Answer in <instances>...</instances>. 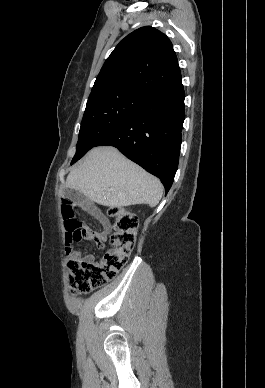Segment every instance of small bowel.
<instances>
[{"mask_svg":"<svg viewBox=\"0 0 265 388\" xmlns=\"http://www.w3.org/2000/svg\"><path fill=\"white\" fill-rule=\"evenodd\" d=\"M85 209L94 219L99 221L103 227V230L100 232L87 229L89 233L88 240L94 241L98 247L103 248L106 244L107 235L112 229L111 223L98 207L87 205ZM71 257L79 258L87 262H94V256L90 254L81 258L78 252H72Z\"/></svg>","mask_w":265,"mask_h":388,"instance_id":"c3829d8e","label":"small bowel"}]
</instances>
